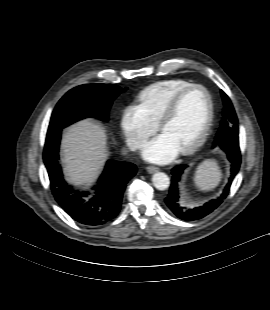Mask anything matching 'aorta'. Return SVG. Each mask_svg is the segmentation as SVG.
<instances>
[{
    "instance_id": "1",
    "label": "aorta",
    "mask_w": 270,
    "mask_h": 310,
    "mask_svg": "<svg viewBox=\"0 0 270 310\" xmlns=\"http://www.w3.org/2000/svg\"><path fill=\"white\" fill-rule=\"evenodd\" d=\"M153 186L158 190H166L170 185V179L167 174L157 172L152 176Z\"/></svg>"
}]
</instances>
